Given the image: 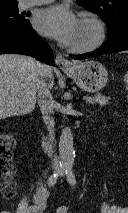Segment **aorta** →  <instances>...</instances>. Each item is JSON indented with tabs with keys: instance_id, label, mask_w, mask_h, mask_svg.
I'll list each match as a JSON object with an SVG mask.
<instances>
[{
	"instance_id": "1",
	"label": "aorta",
	"mask_w": 128,
	"mask_h": 213,
	"mask_svg": "<svg viewBox=\"0 0 128 213\" xmlns=\"http://www.w3.org/2000/svg\"><path fill=\"white\" fill-rule=\"evenodd\" d=\"M59 156L61 167H72L75 159V151L73 147V135L69 127L64 128L60 135Z\"/></svg>"
}]
</instances>
